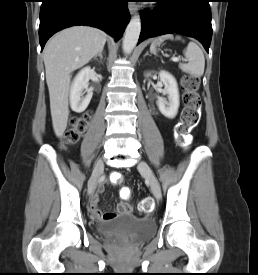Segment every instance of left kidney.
<instances>
[{
    "instance_id": "left-kidney-1",
    "label": "left kidney",
    "mask_w": 258,
    "mask_h": 275,
    "mask_svg": "<svg viewBox=\"0 0 258 275\" xmlns=\"http://www.w3.org/2000/svg\"><path fill=\"white\" fill-rule=\"evenodd\" d=\"M159 77L164 84V92L168 95V100L159 98L157 106L160 112L167 118H174L177 115L179 102V91L176 79L167 71H160ZM150 73L146 74L148 77Z\"/></svg>"
}]
</instances>
